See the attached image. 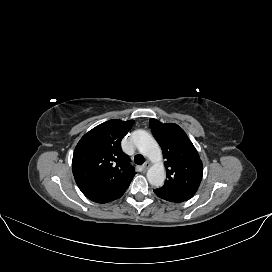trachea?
<instances>
[{
  "label": "trachea",
  "mask_w": 272,
  "mask_h": 272,
  "mask_svg": "<svg viewBox=\"0 0 272 272\" xmlns=\"http://www.w3.org/2000/svg\"><path fill=\"white\" fill-rule=\"evenodd\" d=\"M144 157L141 155V154H137V155H135L134 156V162L136 163V164H139V165H141V164H143L144 163Z\"/></svg>",
  "instance_id": "3493384b"
}]
</instances>
